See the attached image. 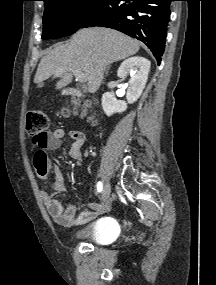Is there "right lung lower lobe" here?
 <instances>
[{
  "label": "right lung lower lobe",
  "mask_w": 216,
  "mask_h": 285,
  "mask_svg": "<svg viewBox=\"0 0 216 285\" xmlns=\"http://www.w3.org/2000/svg\"><path fill=\"white\" fill-rule=\"evenodd\" d=\"M171 1L174 0H105L81 27H109L141 40L151 49L159 65Z\"/></svg>",
  "instance_id": "obj_1"
}]
</instances>
